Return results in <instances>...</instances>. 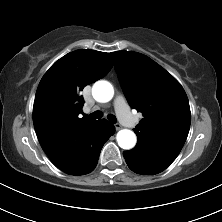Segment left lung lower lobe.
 I'll return each mask as SVG.
<instances>
[{
	"instance_id": "0a47b994",
	"label": "left lung lower lobe",
	"mask_w": 222,
	"mask_h": 222,
	"mask_svg": "<svg viewBox=\"0 0 222 222\" xmlns=\"http://www.w3.org/2000/svg\"><path fill=\"white\" fill-rule=\"evenodd\" d=\"M123 156L132 171L144 175L160 173L172 163L140 146L125 151Z\"/></svg>"
}]
</instances>
